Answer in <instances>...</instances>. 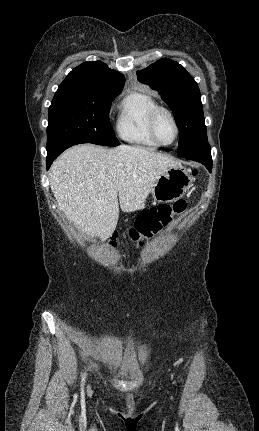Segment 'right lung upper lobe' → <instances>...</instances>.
Segmentation results:
<instances>
[{
  "label": "right lung upper lobe",
  "instance_id": "cb5924a9",
  "mask_svg": "<svg viewBox=\"0 0 259 431\" xmlns=\"http://www.w3.org/2000/svg\"><path fill=\"white\" fill-rule=\"evenodd\" d=\"M124 75L101 61H88L74 68L59 85L57 92L100 95L121 92Z\"/></svg>",
  "mask_w": 259,
  "mask_h": 431
}]
</instances>
